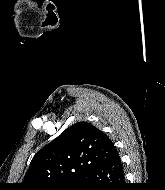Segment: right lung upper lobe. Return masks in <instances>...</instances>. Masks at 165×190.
Segmentation results:
<instances>
[{
	"instance_id": "right-lung-upper-lobe-1",
	"label": "right lung upper lobe",
	"mask_w": 165,
	"mask_h": 190,
	"mask_svg": "<svg viewBox=\"0 0 165 190\" xmlns=\"http://www.w3.org/2000/svg\"><path fill=\"white\" fill-rule=\"evenodd\" d=\"M117 154L102 131L87 122L76 123L35 154L21 188L51 190L73 184L89 169Z\"/></svg>"
}]
</instances>
